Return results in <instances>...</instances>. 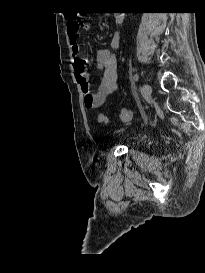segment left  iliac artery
I'll return each mask as SVG.
<instances>
[{"label": "left iliac artery", "instance_id": "obj_1", "mask_svg": "<svg viewBox=\"0 0 205 273\" xmlns=\"http://www.w3.org/2000/svg\"><path fill=\"white\" fill-rule=\"evenodd\" d=\"M134 80H135V81H138V80H139V75H138V73H135V74H134Z\"/></svg>", "mask_w": 205, "mask_h": 273}]
</instances>
